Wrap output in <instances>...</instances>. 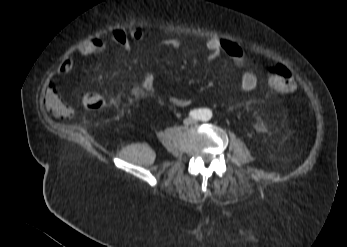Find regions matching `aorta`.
Wrapping results in <instances>:
<instances>
[{"label":"aorta","mask_w":347,"mask_h":247,"mask_svg":"<svg viewBox=\"0 0 347 247\" xmlns=\"http://www.w3.org/2000/svg\"><path fill=\"white\" fill-rule=\"evenodd\" d=\"M211 117V115L209 114L208 117H206V119H209Z\"/></svg>","instance_id":"762f6f07"}]
</instances>
